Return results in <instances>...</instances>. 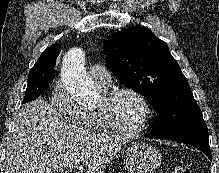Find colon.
Segmentation results:
<instances>
[{
  "label": "colon",
  "mask_w": 219,
  "mask_h": 173,
  "mask_svg": "<svg viewBox=\"0 0 219 173\" xmlns=\"http://www.w3.org/2000/svg\"><path fill=\"white\" fill-rule=\"evenodd\" d=\"M172 173H190L189 170L184 166H176L172 170Z\"/></svg>",
  "instance_id": "obj_1"
}]
</instances>
